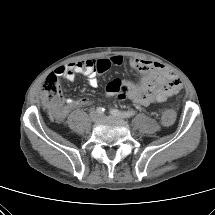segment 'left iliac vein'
<instances>
[{"label":"left iliac vein","mask_w":215,"mask_h":215,"mask_svg":"<svg viewBox=\"0 0 215 215\" xmlns=\"http://www.w3.org/2000/svg\"><path fill=\"white\" fill-rule=\"evenodd\" d=\"M100 117H101V118H105L106 116H105V115H101Z\"/></svg>","instance_id":"1"}]
</instances>
